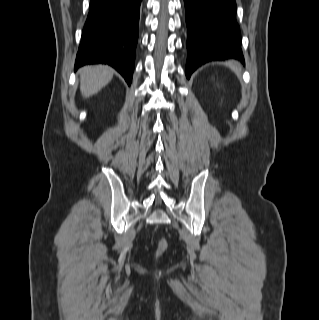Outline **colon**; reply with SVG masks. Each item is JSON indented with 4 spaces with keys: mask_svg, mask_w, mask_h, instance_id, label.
I'll use <instances>...</instances> for the list:
<instances>
[{
    "mask_svg": "<svg viewBox=\"0 0 319 320\" xmlns=\"http://www.w3.org/2000/svg\"><path fill=\"white\" fill-rule=\"evenodd\" d=\"M167 248V241L164 238H161L158 242V250L160 252L165 251Z\"/></svg>",
    "mask_w": 319,
    "mask_h": 320,
    "instance_id": "5ec220e1",
    "label": "colon"
}]
</instances>
